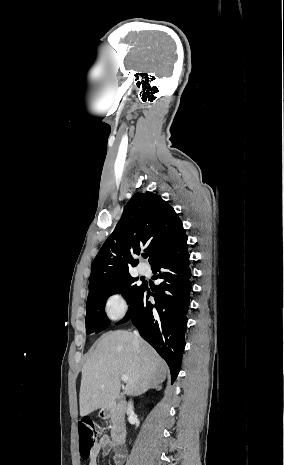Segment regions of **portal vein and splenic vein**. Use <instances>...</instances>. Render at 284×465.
Returning a JSON list of instances; mask_svg holds the SVG:
<instances>
[{
	"instance_id": "18ae733b",
	"label": "portal vein and splenic vein",
	"mask_w": 284,
	"mask_h": 465,
	"mask_svg": "<svg viewBox=\"0 0 284 465\" xmlns=\"http://www.w3.org/2000/svg\"><path fill=\"white\" fill-rule=\"evenodd\" d=\"M121 379H122V381H124V383H127V381H128L127 375H122Z\"/></svg>"
}]
</instances>
